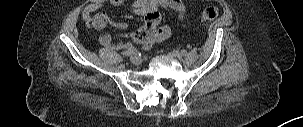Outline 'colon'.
Instances as JSON below:
<instances>
[{
	"label": "colon",
	"instance_id": "1",
	"mask_svg": "<svg viewBox=\"0 0 303 127\" xmlns=\"http://www.w3.org/2000/svg\"><path fill=\"white\" fill-rule=\"evenodd\" d=\"M218 17V11L214 7H207L202 11L201 21L206 26ZM90 21V18H88Z\"/></svg>",
	"mask_w": 303,
	"mask_h": 127
}]
</instances>
